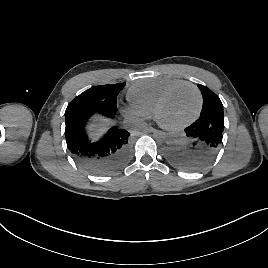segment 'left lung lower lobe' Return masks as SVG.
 <instances>
[{"mask_svg":"<svg viewBox=\"0 0 268 268\" xmlns=\"http://www.w3.org/2000/svg\"><path fill=\"white\" fill-rule=\"evenodd\" d=\"M224 116L214 115L199 118L185 129L177 142L167 148L169 159L186 170L207 166L217 155L222 145Z\"/></svg>","mask_w":268,"mask_h":268,"instance_id":"obj_1","label":"left lung lower lobe"}]
</instances>
